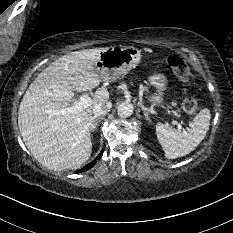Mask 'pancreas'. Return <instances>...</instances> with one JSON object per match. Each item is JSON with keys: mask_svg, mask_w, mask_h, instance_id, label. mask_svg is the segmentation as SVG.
Instances as JSON below:
<instances>
[{"mask_svg": "<svg viewBox=\"0 0 233 233\" xmlns=\"http://www.w3.org/2000/svg\"><path fill=\"white\" fill-rule=\"evenodd\" d=\"M141 90L145 91L146 93H149V90L146 86H141Z\"/></svg>", "mask_w": 233, "mask_h": 233, "instance_id": "pancreas-1", "label": "pancreas"}]
</instances>
